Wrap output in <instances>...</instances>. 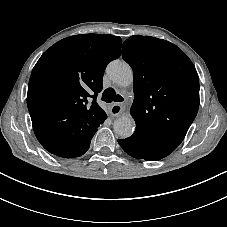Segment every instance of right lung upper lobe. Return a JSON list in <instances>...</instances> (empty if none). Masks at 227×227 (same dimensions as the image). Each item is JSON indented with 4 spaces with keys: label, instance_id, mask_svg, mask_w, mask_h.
Wrapping results in <instances>:
<instances>
[{
    "label": "right lung upper lobe",
    "instance_id": "obj_1",
    "mask_svg": "<svg viewBox=\"0 0 227 227\" xmlns=\"http://www.w3.org/2000/svg\"><path fill=\"white\" fill-rule=\"evenodd\" d=\"M121 44L120 37L108 34L75 35L40 57L29 80L27 105L35 135L46 150L72 157L88 150L107 118L96 97L107 64L121 55Z\"/></svg>",
    "mask_w": 227,
    "mask_h": 227
}]
</instances>
